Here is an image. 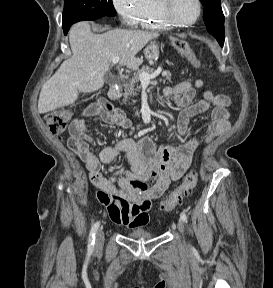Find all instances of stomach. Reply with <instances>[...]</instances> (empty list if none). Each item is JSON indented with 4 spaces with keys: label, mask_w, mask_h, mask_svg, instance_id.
Wrapping results in <instances>:
<instances>
[{
    "label": "stomach",
    "mask_w": 273,
    "mask_h": 288,
    "mask_svg": "<svg viewBox=\"0 0 273 288\" xmlns=\"http://www.w3.org/2000/svg\"><path fill=\"white\" fill-rule=\"evenodd\" d=\"M144 55L147 60H156L159 57V45L156 41L150 42L145 48Z\"/></svg>",
    "instance_id": "obj_1"
}]
</instances>
